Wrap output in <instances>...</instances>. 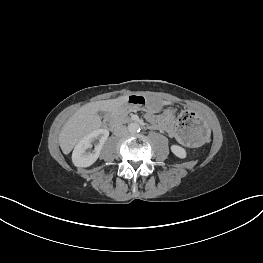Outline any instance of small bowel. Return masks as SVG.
I'll return each instance as SVG.
<instances>
[{
  "mask_svg": "<svg viewBox=\"0 0 263 263\" xmlns=\"http://www.w3.org/2000/svg\"><path fill=\"white\" fill-rule=\"evenodd\" d=\"M146 118L151 123L153 128L166 132L169 135V137L174 138L178 142H180L179 132L174 130L171 122H166L163 119L162 114L148 113L146 115Z\"/></svg>",
  "mask_w": 263,
  "mask_h": 263,
  "instance_id": "c3829d8e",
  "label": "small bowel"
}]
</instances>
